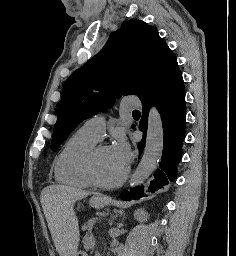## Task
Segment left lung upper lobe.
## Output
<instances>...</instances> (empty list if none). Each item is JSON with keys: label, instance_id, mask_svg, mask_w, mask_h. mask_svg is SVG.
Here are the masks:
<instances>
[{"label": "left lung upper lobe", "instance_id": "obj_1", "mask_svg": "<svg viewBox=\"0 0 236 256\" xmlns=\"http://www.w3.org/2000/svg\"><path fill=\"white\" fill-rule=\"evenodd\" d=\"M176 69V57L155 27L135 19L123 22L100 52L65 82L52 149L80 122L105 111L122 95L142 100Z\"/></svg>", "mask_w": 236, "mask_h": 256}]
</instances>
